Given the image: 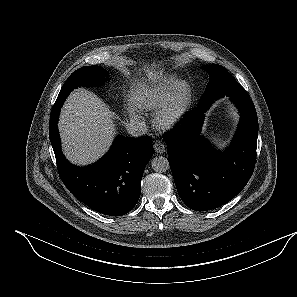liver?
Masks as SVG:
<instances>
[{
    "label": "liver",
    "instance_id": "liver-1",
    "mask_svg": "<svg viewBox=\"0 0 297 297\" xmlns=\"http://www.w3.org/2000/svg\"><path fill=\"white\" fill-rule=\"evenodd\" d=\"M153 66L151 69L145 66L150 78L154 77ZM113 117V112L92 92L81 88L71 93L62 108L58 125L66 158L84 166L101 157L115 135Z\"/></svg>",
    "mask_w": 297,
    "mask_h": 297
}]
</instances>
